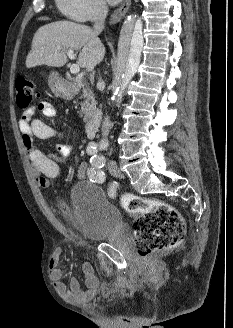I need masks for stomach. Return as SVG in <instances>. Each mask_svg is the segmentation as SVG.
I'll return each mask as SVG.
<instances>
[{"instance_id":"1","label":"stomach","mask_w":233,"mask_h":328,"mask_svg":"<svg viewBox=\"0 0 233 328\" xmlns=\"http://www.w3.org/2000/svg\"><path fill=\"white\" fill-rule=\"evenodd\" d=\"M50 87L52 92L59 97L65 99H71L73 97V93L70 89H68L62 81L60 80H51Z\"/></svg>"}]
</instances>
